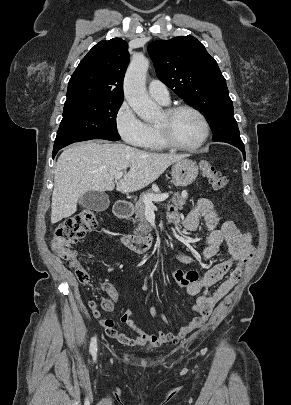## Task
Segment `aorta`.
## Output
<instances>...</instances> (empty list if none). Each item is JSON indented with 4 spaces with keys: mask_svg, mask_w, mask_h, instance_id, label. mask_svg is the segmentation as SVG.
<instances>
[{
    "mask_svg": "<svg viewBox=\"0 0 291 405\" xmlns=\"http://www.w3.org/2000/svg\"><path fill=\"white\" fill-rule=\"evenodd\" d=\"M149 61L143 55L133 56L124 79V96L134 112L144 121H155L159 114V106L149 97L145 82Z\"/></svg>",
    "mask_w": 291,
    "mask_h": 405,
    "instance_id": "762f6f07",
    "label": "aorta"
}]
</instances>
